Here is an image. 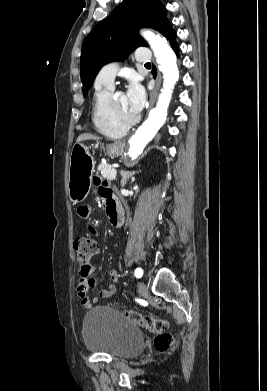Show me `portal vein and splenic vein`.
I'll list each match as a JSON object with an SVG mask.
<instances>
[{"instance_id":"obj_1","label":"portal vein and splenic vein","mask_w":267,"mask_h":391,"mask_svg":"<svg viewBox=\"0 0 267 391\" xmlns=\"http://www.w3.org/2000/svg\"><path fill=\"white\" fill-rule=\"evenodd\" d=\"M112 167H113V169H116V168H118V165L115 164V165H113Z\"/></svg>"}]
</instances>
